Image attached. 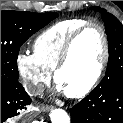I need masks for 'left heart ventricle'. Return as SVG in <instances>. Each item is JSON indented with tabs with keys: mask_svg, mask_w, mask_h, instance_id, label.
Listing matches in <instances>:
<instances>
[{
	"mask_svg": "<svg viewBox=\"0 0 123 123\" xmlns=\"http://www.w3.org/2000/svg\"><path fill=\"white\" fill-rule=\"evenodd\" d=\"M103 44L96 28L85 31L75 42L69 61L58 76L65 92L86 86L95 75L102 56Z\"/></svg>",
	"mask_w": 123,
	"mask_h": 123,
	"instance_id": "left-heart-ventricle-1",
	"label": "left heart ventricle"
}]
</instances>
